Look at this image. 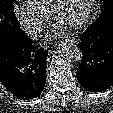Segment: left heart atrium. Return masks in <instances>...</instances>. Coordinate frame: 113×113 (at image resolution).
<instances>
[{
  "instance_id": "39dd6f15",
  "label": "left heart atrium",
  "mask_w": 113,
  "mask_h": 113,
  "mask_svg": "<svg viewBox=\"0 0 113 113\" xmlns=\"http://www.w3.org/2000/svg\"><path fill=\"white\" fill-rule=\"evenodd\" d=\"M62 28L64 27L58 24L56 27H54L53 31L55 32V34H60L62 32Z\"/></svg>"
}]
</instances>
